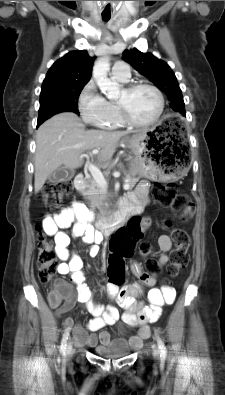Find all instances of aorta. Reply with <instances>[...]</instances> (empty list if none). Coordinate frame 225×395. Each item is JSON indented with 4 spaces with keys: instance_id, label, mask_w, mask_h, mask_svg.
Masks as SVG:
<instances>
[{
    "instance_id": "obj_1",
    "label": "aorta",
    "mask_w": 225,
    "mask_h": 395,
    "mask_svg": "<svg viewBox=\"0 0 225 395\" xmlns=\"http://www.w3.org/2000/svg\"><path fill=\"white\" fill-rule=\"evenodd\" d=\"M110 63L108 57L98 59L93 66V77L108 99H117L120 95L118 84L108 78Z\"/></svg>"
}]
</instances>
